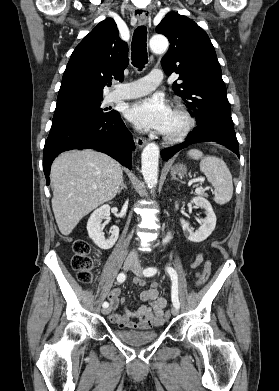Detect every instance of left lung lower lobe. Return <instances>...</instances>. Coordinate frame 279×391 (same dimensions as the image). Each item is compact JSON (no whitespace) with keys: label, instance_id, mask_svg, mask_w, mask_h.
Masks as SVG:
<instances>
[{"label":"left lung lower lobe","instance_id":"1","mask_svg":"<svg viewBox=\"0 0 279 391\" xmlns=\"http://www.w3.org/2000/svg\"><path fill=\"white\" fill-rule=\"evenodd\" d=\"M205 141H215L218 142L230 150H232L238 157L239 155V146L234 131V126H229L227 124L217 122V121H207L188 134L187 139L179 145L166 148L161 151V156L164 161H167L171 156H173L179 150L199 142Z\"/></svg>","mask_w":279,"mask_h":391}]
</instances>
